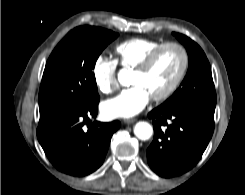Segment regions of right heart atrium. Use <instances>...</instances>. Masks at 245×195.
<instances>
[{"instance_id": "right-heart-atrium-1", "label": "right heart atrium", "mask_w": 245, "mask_h": 195, "mask_svg": "<svg viewBox=\"0 0 245 195\" xmlns=\"http://www.w3.org/2000/svg\"><path fill=\"white\" fill-rule=\"evenodd\" d=\"M115 61L98 56L92 66V77L97 89L103 94H111L118 88Z\"/></svg>"}]
</instances>
